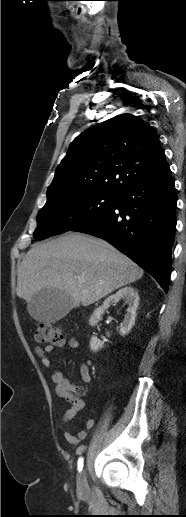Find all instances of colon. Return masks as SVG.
<instances>
[{"label": "colon", "mask_w": 186, "mask_h": 517, "mask_svg": "<svg viewBox=\"0 0 186 517\" xmlns=\"http://www.w3.org/2000/svg\"><path fill=\"white\" fill-rule=\"evenodd\" d=\"M64 330L62 327H54L48 323L40 322L37 325L34 337L38 343L52 344L63 340ZM83 393V390H80Z\"/></svg>", "instance_id": "colon-1"}]
</instances>
